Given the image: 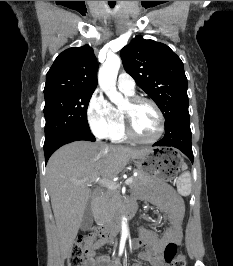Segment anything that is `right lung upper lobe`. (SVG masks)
<instances>
[{
    "label": "right lung upper lobe",
    "instance_id": "cb5924a9",
    "mask_svg": "<svg viewBox=\"0 0 233 266\" xmlns=\"http://www.w3.org/2000/svg\"><path fill=\"white\" fill-rule=\"evenodd\" d=\"M98 63L89 45L66 49L46 75L44 96L76 91H94Z\"/></svg>",
    "mask_w": 233,
    "mask_h": 266
}]
</instances>
